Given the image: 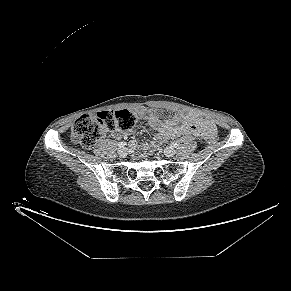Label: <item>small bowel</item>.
I'll list each match as a JSON object with an SVG mask.
<instances>
[{
	"label": "small bowel",
	"instance_id": "1",
	"mask_svg": "<svg viewBox=\"0 0 291 291\" xmlns=\"http://www.w3.org/2000/svg\"><path fill=\"white\" fill-rule=\"evenodd\" d=\"M138 115L146 119L149 125L156 131L159 141H164L172 136H201L215 130L212 121L202 118L193 112H186L169 119L161 118L157 112L148 109H141ZM136 146V142L131 143Z\"/></svg>",
	"mask_w": 291,
	"mask_h": 291
}]
</instances>
